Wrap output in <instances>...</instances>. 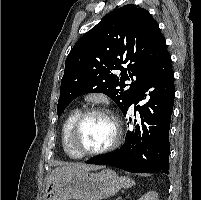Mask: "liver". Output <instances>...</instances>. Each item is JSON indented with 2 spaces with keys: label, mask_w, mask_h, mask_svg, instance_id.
I'll list each match as a JSON object with an SVG mask.
<instances>
[{
  "label": "liver",
  "mask_w": 201,
  "mask_h": 200,
  "mask_svg": "<svg viewBox=\"0 0 201 200\" xmlns=\"http://www.w3.org/2000/svg\"><path fill=\"white\" fill-rule=\"evenodd\" d=\"M98 167L92 166V165H85V164H80V163H72V164H67L64 166H60L55 168L49 178L47 179V185L52 183L55 180L60 179L61 177L73 173H78V172H84V171H90L92 169H97Z\"/></svg>",
  "instance_id": "6515ba94"
}]
</instances>
